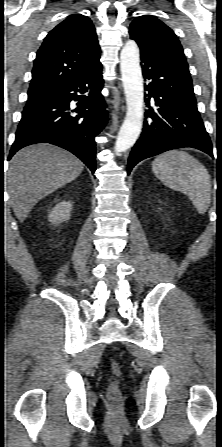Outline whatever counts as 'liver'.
Instances as JSON below:
<instances>
[{"label": "liver", "instance_id": "6515ba94", "mask_svg": "<svg viewBox=\"0 0 222 447\" xmlns=\"http://www.w3.org/2000/svg\"><path fill=\"white\" fill-rule=\"evenodd\" d=\"M83 168L76 156L53 145H31L18 151L7 172V188L18 220L23 222L41 199L73 181Z\"/></svg>", "mask_w": 222, "mask_h": 447}]
</instances>
